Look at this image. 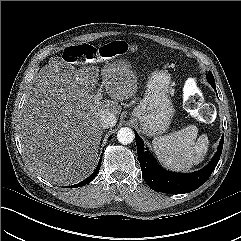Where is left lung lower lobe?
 <instances>
[{"mask_svg": "<svg viewBox=\"0 0 241 241\" xmlns=\"http://www.w3.org/2000/svg\"><path fill=\"white\" fill-rule=\"evenodd\" d=\"M210 84L216 90L215 82ZM135 138L138 159L145 182L151 189L169 194L192 192L206 182L220 159L224 141V136H222L217 152L207 166L190 174H181L168 172L161 168L153 156L144 148V144L137 133H135Z\"/></svg>", "mask_w": 241, "mask_h": 241, "instance_id": "left-lung-lower-lobe-1", "label": "left lung lower lobe"}]
</instances>
